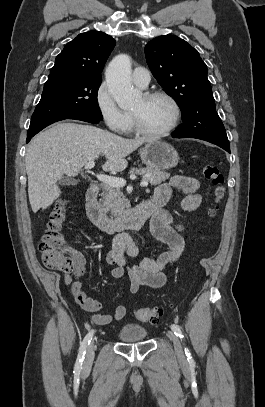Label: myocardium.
Returning <instances> with one entry per match:
<instances>
[{
    "label": "myocardium",
    "mask_w": 265,
    "mask_h": 407,
    "mask_svg": "<svg viewBox=\"0 0 265 407\" xmlns=\"http://www.w3.org/2000/svg\"><path fill=\"white\" fill-rule=\"evenodd\" d=\"M143 98L145 100H153L156 98H163V99L167 100L173 107L174 117H173L171 124L166 129L157 131V132H151V131L145 130L141 126V124L138 120V117L135 114L131 113V124H132L133 131L141 137L150 138V139L162 138V137H166V136L170 135L179 125V122H180L181 116H182L181 107H180L178 101L171 94H169L165 91H159V90L146 92L143 94Z\"/></svg>",
    "instance_id": "obj_1"
}]
</instances>
